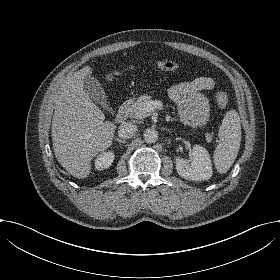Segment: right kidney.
<instances>
[{
  "instance_id": "ca27d5eb",
  "label": "right kidney",
  "mask_w": 280,
  "mask_h": 280,
  "mask_svg": "<svg viewBox=\"0 0 280 280\" xmlns=\"http://www.w3.org/2000/svg\"><path fill=\"white\" fill-rule=\"evenodd\" d=\"M115 155L112 151L101 153L95 159V168L97 170H103L109 168L113 163Z\"/></svg>"
}]
</instances>
